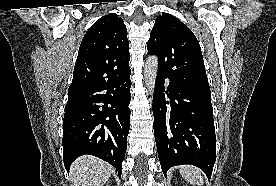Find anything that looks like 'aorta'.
Instances as JSON below:
<instances>
[{
    "mask_svg": "<svg viewBox=\"0 0 276 186\" xmlns=\"http://www.w3.org/2000/svg\"><path fill=\"white\" fill-rule=\"evenodd\" d=\"M158 71V58L156 56L148 57L144 68V80L148 91L153 95L155 88V81Z\"/></svg>",
    "mask_w": 276,
    "mask_h": 186,
    "instance_id": "aorta-1",
    "label": "aorta"
}]
</instances>
